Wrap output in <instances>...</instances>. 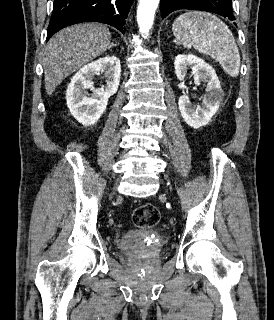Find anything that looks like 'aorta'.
<instances>
[{
	"label": "aorta",
	"mask_w": 274,
	"mask_h": 320,
	"mask_svg": "<svg viewBox=\"0 0 274 320\" xmlns=\"http://www.w3.org/2000/svg\"><path fill=\"white\" fill-rule=\"evenodd\" d=\"M160 0H139L137 9V23L144 38H147L152 28L155 11Z\"/></svg>",
	"instance_id": "obj_1"
}]
</instances>
